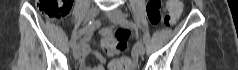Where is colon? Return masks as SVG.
<instances>
[{
  "label": "colon",
  "mask_w": 238,
  "mask_h": 70,
  "mask_svg": "<svg viewBox=\"0 0 238 70\" xmlns=\"http://www.w3.org/2000/svg\"><path fill=\"white\" fill-rule=\"evenodd\" d=\"M38 4L41 12L50 19L63 18L71 9V2L69 0H40ZM162 5L163 3L160 0H150L147 4L148 18L153 25L163 23L165 26H171L176 22L182 10V1H167V14L165 16L161 15ZM112 35L117 41L116 47L123 50L127 45L126 40L129 32L127 30L117 29L112 30ZM130 66V60L128 58H119L110 62L109 70H128Z\"/></svg>",
  "instance_id": "1"
}]
</instances>
